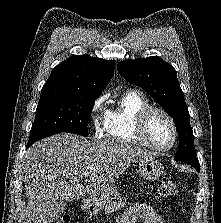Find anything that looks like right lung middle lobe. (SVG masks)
Masks as SVG:
<instances>
[{
  "mask_svg": "<svg viewBox=\"0 0 221 223\" xmlns=\"http://www.w3.org/2000/svg\"><path fill=\"white\" fill-rule=\"evenodd\" d=\"M95 97H73L39 101L28 143L68 132L88 136L87 124Z\"/></svg>",
  "mask_w": 221,
  "mask_h": 223,
  "instance_id": "obj_1",
  "label": "right lung middle lobe"
}]
</instances>
